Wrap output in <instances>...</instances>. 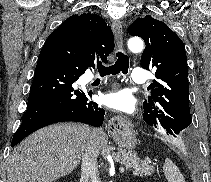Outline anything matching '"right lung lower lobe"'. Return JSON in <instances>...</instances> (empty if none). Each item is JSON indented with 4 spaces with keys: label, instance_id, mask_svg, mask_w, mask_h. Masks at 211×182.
Masks as SVG:
<instances>
[{
    "label": "right lung lower lobe",
    "instance_id": "1",
    "mask_svg": "<svg viewBox=\"0 0 211 182\" xmlns=\"http://www.w3.org/2000/svg\"><path fill=\"white\" fill-rule=\"evenodd\" d=\"M88 67L80 45L66 26H59L46 39L38 57L27 110L11 146L34 131L57 122L76 121L99 127L105 110L98 107L74 83Z\"/></svg>",
    "mask_w": 211,
    "mask_h": 182
}]
</instances>
